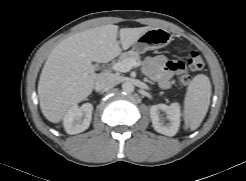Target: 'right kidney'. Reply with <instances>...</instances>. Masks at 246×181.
I'll list each match as a JSON object with an SVG mask.
<instances>
[{"label": "right kidney", "mask_w": 246, "mask_h": 181, "mask_svg": "<svg viewBox=\"0 0 246 181\" xmlns=\"http://www.w3.org/2000/svg\"><path fill=\"white\" fill-rule=\"evenodd\" d=\"M93 105L85 103L81 107L73 105L63 117V126L65 131L70 134H78L90 126L92 118Z\"/></svg>", "instance_id": "right-kidney-1"}]
</instances>
